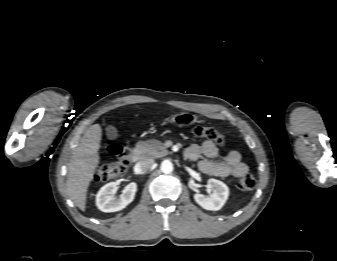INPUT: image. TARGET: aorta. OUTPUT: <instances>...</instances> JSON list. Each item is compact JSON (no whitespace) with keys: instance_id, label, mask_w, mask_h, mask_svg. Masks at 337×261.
Instances as JSON below:
<instances>
[{"instance_id":"762f6f07","label":"aorta","mask_w":337,"mask_h":261,"mask_svg":"<svg viewBox=\"0 0 337 261\" xmlns=\"http://www.w3.org/2000/svg\"><path fill=\"white\" fill-rule=\"evenodd\" d=\"M161 171L163 173L169 174L173 171V164L169 160H164L161 163Z\"/></svg>"}]
</instances>
